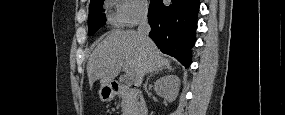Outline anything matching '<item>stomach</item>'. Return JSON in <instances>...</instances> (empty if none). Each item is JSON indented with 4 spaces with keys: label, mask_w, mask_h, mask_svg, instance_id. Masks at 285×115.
Returning <instances> with one entry per match:
<instances>
[{
    "label": "stomach",
    "mask_w": 285,
    "mask_h": 115,
    "mask_svg": "<svg viewBox=\"0 0 285 115\" xmlns=\"http://www.w3.org/2000/svg\"><path fill=\"white\" fill-rule=\"evenodd\" d=\"M115 94V90L110 84L102 86L99 90V96L102 102L111 101L114 98Z\"/></svg>",
    "instance_id": "obj_1"
}]
</instances>
